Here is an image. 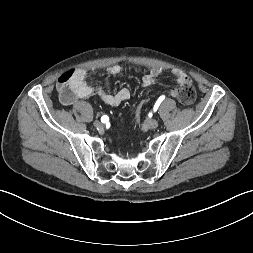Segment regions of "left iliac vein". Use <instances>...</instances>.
Returning a JSON list of instances; mask_svg holds the SVG:
<instances>
[{"instance_id":"1","label":"left iliac vein","mask_w":253,"mask_h":253,"mask_svg":"<svg viewBox=\"0 0 253 253\" xmlns=\"http://www.w3.org/2000/svg\"><path fill=\"white\" fill-rule=\"evenodd\" d=\"M144 126L149 129H155L159 126V122L156 119L148 120L144 123Z\"/></svg>"}]
</instances>
